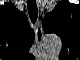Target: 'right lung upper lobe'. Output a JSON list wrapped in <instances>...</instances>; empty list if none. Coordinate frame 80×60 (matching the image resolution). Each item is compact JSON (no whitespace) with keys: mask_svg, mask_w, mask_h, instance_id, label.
<instances>
[{"mask_svg":"<svg viewBox=\"0 0 80 60\" xmlns=\"http://www.w3.org/2000/svg\"><path fill=\"white\" fill-rule=\"evenodd\" d=\"M0 43L2 48L12 53L28 54L34 41L26 15L12 4L0 7Z\"/></svg>","mask_w":80,"mask_h":60,"instance_id":"right-lung-upper-lobe-1","label":"right lung upper lobe"}]
</instances>
